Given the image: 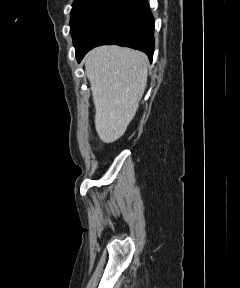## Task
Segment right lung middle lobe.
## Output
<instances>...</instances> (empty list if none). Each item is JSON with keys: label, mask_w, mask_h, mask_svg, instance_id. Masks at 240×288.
<instances>
[{"label": "right lung middle lobe", "mask_w": 240, "mask_h": 288, "mask_svg": "<svg viewBox=\"0 0 240 288\" xmlns=\"http://www.w3.org/2000/svg\"><path fill=\"white\" fill-rule=\"evenodd\" d=\"M120 0H75L71 11L70 32L74 46L83 44L95 27Z\"/></svg>", "instance_id": "right-lung-middle-lobe-1"}]
</instances>
